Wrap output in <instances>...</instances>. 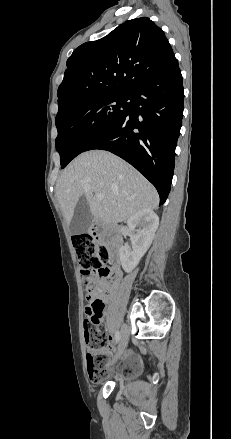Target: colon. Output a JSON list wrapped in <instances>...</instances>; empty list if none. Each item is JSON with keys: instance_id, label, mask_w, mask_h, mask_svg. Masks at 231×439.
<instances>
[{"instance_id": "5ec220e1", "label": "colon", "mask_w": 231, "mask_h": 439, "mask_svg": "<svg viewBox=\"0 0 231 439\" xmlns=\"http://www.w3.org/2000/svg\"><path fill=\"white\" fill-rule=\"evenodd\" d=\"M73 246L77 254L80 272L85 278L87 291L93 287L90 282L92 275L99 279L98 287L102 290L106 289L111 275L108 249L99 244L91 234L75 235L73 237ZM90 308L93 317L84 327L85 341L89 348L86 355V365L91 378L99 381L106 377L104 367L108 359L106 353H95L96 350L108 344L98 321V316L103 312L104 304L96 299L91 301Z\"/></svg>"}]
</instances>
